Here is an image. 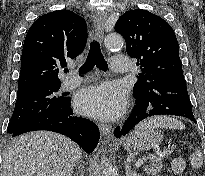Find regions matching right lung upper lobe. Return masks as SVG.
I'll use <instances>...</instances> for the list:
<instances>
[{"instance_id":"right-lung-upper-lobe-1","label":"right lung upper lobe","mask_w":205,"mask_h":176,"mask_svg":"<svg viewBox=\"0 0 205 176\" xmlns=\"http://www.w3.org/2000/svg\"><path fill=\"white\" fill-rule=\"evenodd\" d=\"M86 40L85 20L72 11L39 17L24 41L17 96L60 85V67L81 53Z\"/></svg>"}]
</instances>
